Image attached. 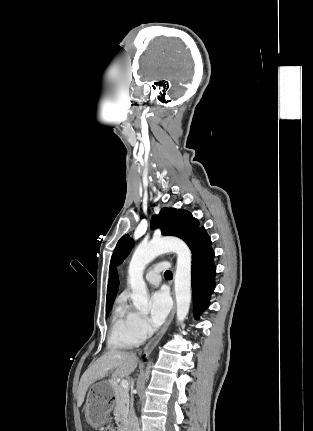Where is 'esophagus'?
<instances>
[{
  "label": "esophagus",
  "instance_id": "1",
  "mask_svg": "<svg viewBox=\"0 0 313 431\" xmlns=\"http://www.w3.org/2000/svg\"><path fill=\"white\" fill-rule=\"evenodd\" d=\"M173 297H174V295H173ZM175 311H176V303L174 301L172 311H171L170 315L168 316L165 324L163 325L161 330L147 343V345L144 349L145 352L152 351L155 348V346L158 344V342L160 341V339L162 338V336L165 334L166 330L168 329L169 325L171 324L173 317H174V314H175Z\"/></svg>",
  "mask_w": 313,
  "mask_h": 431
}]
</instances>
